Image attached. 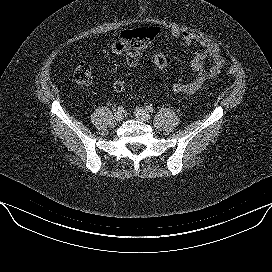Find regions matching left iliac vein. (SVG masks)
I'll list each match as a JSON object with an SVG mask.
<instances>
[{"label":"left iliac vein","instance_id":"1","mask_svg":"<svg viewBox=\"0 0 272 272\" xmlns=\"http://www.w3.org/2000/svg\"><path fill=\"white\" fill-rule=\"evenodd\" d=\"M134 113L136 118L142 122H147L150 119L149 113L143 108H136Z\"/></svg>","mask_w":272,"mask_h":272}]
</instances>
